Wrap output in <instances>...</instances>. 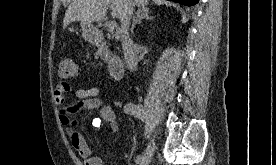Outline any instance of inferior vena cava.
<instances>
[{
	"mask_svg": "<svg viewBox=\"0 0 276 165\" xmlns=\"http://www.w3.org/2000/svg\"><path fill=\"white\" fill-rule=\"evenodd\" d=\"M133 15V2L132 0H124V9L121 20L120 36L124 57L130 70H136L137 62L135 59L133 42L129 36V25Z\"/></svg>",
	"mask_w": 276,
	"mask_h": 165,
	"instance_id": "602c4592",
	"label": "inferior vena cava"
}]
</instances>
